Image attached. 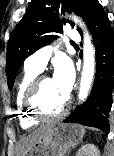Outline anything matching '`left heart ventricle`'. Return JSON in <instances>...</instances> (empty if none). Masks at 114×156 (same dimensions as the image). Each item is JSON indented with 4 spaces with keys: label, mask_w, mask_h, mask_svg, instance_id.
Segmentation results:
<instances>
[{
    "label": "left heart ventricle",
    "mask_w": 114,
    "mask_h": 156,
    "mask_svg": "<svg viewBox=\"0 0 114 156\" xmlns=\"http://www.w3.org/2000/svg\"><path fill=\"white\" fill-rule=\"evenodd\" d=\"M66 100L67 97L60 93L52 78L42 83L39 104L43 111L56 113L63 107Z\"/></svg>",
    "instance_id": "obj_1"
}]
</instances>
